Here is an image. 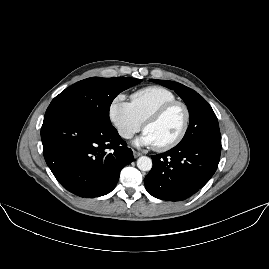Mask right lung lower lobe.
Returning <instances> with one entry per match:
<instances>
[{
    "instance_id": "obj_1",
    "label": "right lung lower lobe",
    "mask_w": 269,
    "mask_h": 269,
    "mask_svg": "<svg viewBox=\"0 0 269 269\" xmlns=\"http://www.w3.org/2000/svg\"><path fill=\"white\" fill-rule=\"evenodd\" d=\"M44 158L56 179L80 197L112 191L133 154L117 130L83 114L49 106L41 128Z\"/></svg>"
}]
</instances>
